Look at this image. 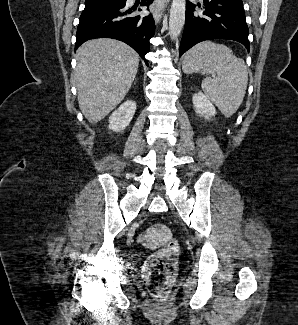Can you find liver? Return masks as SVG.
<instances>
[{
  "label": "liver",
  "mask_w": 298,
  "mask_h": 325,
  "mask_svg": "<svg viewBox=\"0 0 298 325\" xmlns=\"http://www.w3.org/2000/svg\"><path fill=\"white\" fill-rule=\"evenodd\" d=\"M76 58L78 104L88 122L95 124L126 96L138 70L139 54L121 40L93 38L79 46Z\"/></svg>",
  "instance_id": "1"
}]
</instances>
